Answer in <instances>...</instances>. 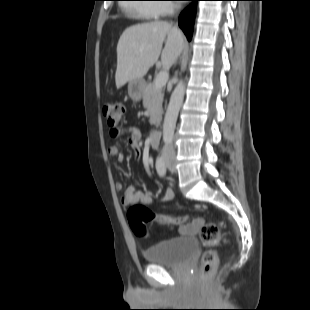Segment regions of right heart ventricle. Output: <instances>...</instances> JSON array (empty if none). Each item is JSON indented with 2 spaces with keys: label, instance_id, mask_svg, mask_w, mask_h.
Returning <instances> with one entry per match:
<instances>
[{
  "label": "right heart ventricle",
  "instance_id": "1",
  "mask_svg": "<svg viewBox=\"0 0 310 310\" xmlns=\"http://www.w3.org/2000/svg\"><path fill=\"white\" fill-rule=\"evenodd\" d=\"M155 5L156 4H138L134 7L133 12L145 20L154 19L160 15Z\"/></svg>",
  "mask_w": 310,
  "mask_h": 310
}]
</instances>
